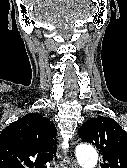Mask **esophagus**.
Returning a JSON list of instances; mask_svg holds the SVG:
<instances>
[{
    "label": "esophagus",
    "mask_w": 127,
    "mask_h": 168,
    "mask_svg": "<svg viewBox=\"0 0 127 168\" xmlns=\"http://www.w3.org/2000/svg\"><path fill=\"white\" fill-rule=\"evenodd\" d=\"M69 168H78V165L73 161L69 163Z\"/></svg>",
    "instance_id": "1"
}]
</instances>
